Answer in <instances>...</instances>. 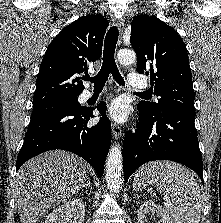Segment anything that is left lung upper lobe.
Segmentation results:
<instances>
[{
    "label": "left lung upper lobe",
    "mask_w": 221,
    "mask_h": 223,
    "mask_svg": "<svg viewBox=\"0 0 221 223\" xmlns=\"http://www.w3.org/2000/svg\"><path fill=\"white\" fill-rule=\"evenodd\" d=\"M131 45L137 54V71L151 76L158 102L142 101L138 108L150 116L170 111L196 115L187 49L178 33L156 16H135Z\"/></svg>",
    "instance_id": "1"
}]
</instances>
